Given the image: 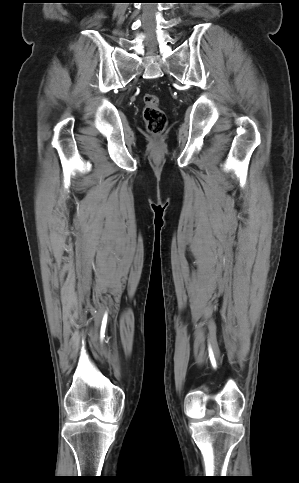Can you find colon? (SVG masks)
Returning a JSON list of instances; mask_svg holds the SVG:
<instances>
[{"label": "colon", "instance_id": "1", "mask_svg": "<svg viewBox=\"0 0 299 483\" xmlns=\"http://www.w3.org/2000/svg\"><path fill=\"white\" fill-rule=\"evenodd\" d=\"M143 119L149 133L162 134L167 126V117L160 107L159 97L155 94H146L143 98Z\"/></svg>", "mask_w": 299, "mask_h": 483}]
</instances>
